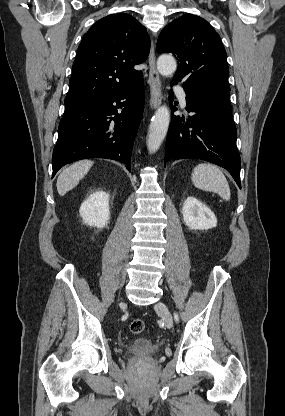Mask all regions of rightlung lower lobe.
I'll return each mask as SVG.
<instances>
[{
  "label": "right lung lower lobe",
  "instance_id": "98d812e1",
  "mask_svg": "<svg viewBox=\"0 0 285 416\" xmlns=\"http://www.w3.org/2000/svg\"><path fill=\"white\" fill-rule=\"evenodd\" d=\"M143 106L141 79L107 100L66 109L53 150L52 177L62 166L86 158L118 160L130 171L131 152ZM112 115L115 116L112 118Z\"/></svg>",
  "mask_w": 285,
  "mask_h": 416
}]
</instances>
